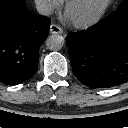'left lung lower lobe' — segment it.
Returning a JSON list of instances; mask_svg holds the SVG:
<instances>
[{
	"label": "left lung lower lobe",
	"instance_id": "left-lung-lower-lobe-1",
	"mask_svg": "<svg viewBox=\"0 0 128 128\" xmlns=\"http://www.w3.org/2000/svg\"><path fill=\"white\" fill-rule=\"evenodd\" d=\"M74 75L90 88L128 82V7L66 37Z\"/></svg>",
	"mask_w": 128,
	"mask_h": 128
}]
</instances>
